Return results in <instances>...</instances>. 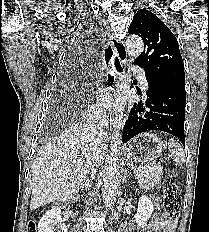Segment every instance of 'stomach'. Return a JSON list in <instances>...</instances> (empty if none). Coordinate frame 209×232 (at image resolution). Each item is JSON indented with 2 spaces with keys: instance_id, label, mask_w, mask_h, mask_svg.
<instances>
[{
  "instance_id": "obj_1",
  "label": "stomach",
  "mask_w": 209,
  "mask_h": 232,
  "mask_svg": "<svg viewBox=\"0 0 209 232\" xmlns=\"http://www.w3.org/2000/svg\"><path fill=\"white\" fill-rule=\"evenodd\" d=\"M163 149V142L158 136L142 133L125 146V153L128 159L145 163L160 157Z\"/></svg>"
}]
</instances>
